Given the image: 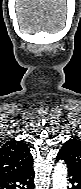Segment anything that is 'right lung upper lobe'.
I'll return each instance as SVG.
<instances>
[{
  "label": "right lung upper lobe",
  "mask_w": 81,
  "mask_h": 189,
  "mask_svg": "<svg viewBox=\"0 0 81 189\" xmlns=\"http://www.w3.org/2000/svg\"><path fill=\"white\" fill-rule=\"evenodd\" d=\"M33 162L30 149L22 141L10 140L0 147V179L26 168Z\"/></svg>",
  "instance_id": "1"
}]
</instances>
